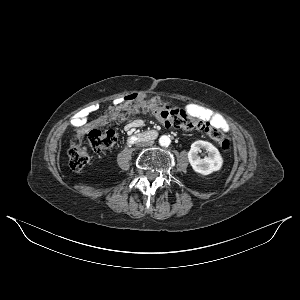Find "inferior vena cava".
Listing matches in <instances>:
<instances>
[{
	"instance_id": "obj_1",
	"label": "inferior vena cava",
	"mask_w": 300,
	"mask_h": 300,
	"mask_svg": "<svg viewBox=\"0 0 300 300\" xmlns=\"http://www.w3.org/2000/svg\"><path fill=\"white\" fill-rule=\"evenodd\" d=\"M137 144L140 146H150L153 144L152 140H138Z\"/></svg>"
}]
</instances>
